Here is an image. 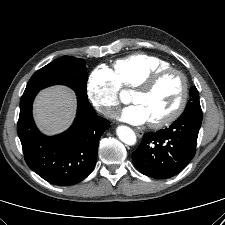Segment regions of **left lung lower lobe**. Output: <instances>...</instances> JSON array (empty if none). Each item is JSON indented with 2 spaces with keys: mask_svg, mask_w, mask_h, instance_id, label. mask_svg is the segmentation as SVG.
<instances>
[{
  "mask_svg": "<svg viewBox=\"0 0 225 225\" xmlns=\"http://www.w3.org/2000/svg\"><path fill=\"white\" fill-rule=\"evenodd\" d=\"M202 110L191 109L168 128L146 133L132 153L135 167L144 175L166 179L182 171L196 152Z\"/></svg>",
  "mask_w": 225,
  "mask_h": 225,
  "instance_id": "obj_1",
  "label": "left lung lower lobe"
}]
</instances>
